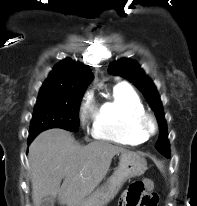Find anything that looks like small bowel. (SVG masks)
Masks as SVG:
<instances>
[{
    "label": "small bowel",
    "mask_w": 197,
    "mask_h": 206,
    "mask_svg": "<svg viewBox=\"0 0 197 206\" xmlns=\"http://www.w3.org/2000/svg\"><path fill=\"white\" fill-rule=\"evenodd\" d=\"M149 188H151V183H149ZM126 195H127V191L122 196L120 206H129L126 201Z\"/></svg>",
    "instance_id": "c3829d8e"
}]
</instances>
